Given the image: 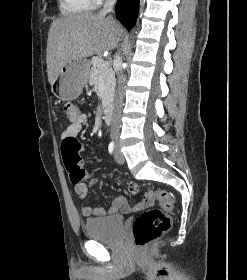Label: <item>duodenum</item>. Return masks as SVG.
<instances>
[{"mask_svg": "<svg viewBox=\"0 0 247 280\" xmlns=\"http://www.w3.org/2000/svg\"><path fill=\"white\" fill-rule=\"evenodd\" d=\"M112 110L109 105H106L103 109V118L106 122H110L111 120Z\"/></svg>", "mask_w": 247, "mask_h": 280, "instance_id": "1", "label": "duodenum"}]
</instances>
